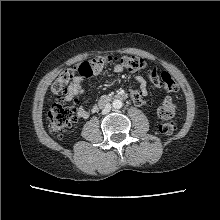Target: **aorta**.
Listing matches in <instances>:
<instances>
[{"label": "aorta", "instance_id": "obj_1", "mask_svg": "<svg viewBox=\"0 0 220 220\" xmlns=\"http://www.w3.org/2000/svg\"><path fill=\"white\" fill-rule=\"evenodd\" d=\"M112 106L114 109H121L122 106H123V103L121 100L119 99H115L113 102H112Z\"/></svg>", "mask_w": 220, "mask_h": 220}]
</instances>
